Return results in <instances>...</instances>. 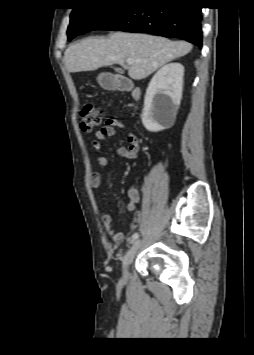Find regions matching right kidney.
<instances>
[{
    "mask_svg": "<svg viewBox=\"0 0 254 355\" xmlns=\"http://www.w3.org/2000/svg\"><path fill=\"white\" fill-rule=\"evenodd\" d=\"M184 67L169 63L151 79L144 99L142 123L150 132L173 125L182 98Z\"/></svg>",
    "mask_w": 254,
    "mask_h": 355,
    "instance_id": "obj_1",
    "label": "right kidney"
}]
</instances>
